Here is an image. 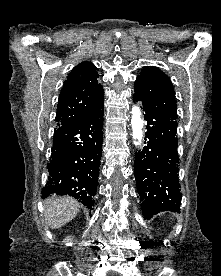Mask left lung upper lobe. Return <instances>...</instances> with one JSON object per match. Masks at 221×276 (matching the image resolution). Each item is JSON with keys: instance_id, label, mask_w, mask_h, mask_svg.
<instances>
[{"instance_id": "5c2ea615", "label": "left lung upper lobe", "mask_w": 221, "mask_h": 276, "mask_svg": "<svg viewBox=\"0 0 221 276\" xmlns=\"http://www.w3.org/2000/svg\"><path fill=\"white\" fill-rule=\"evenodd\" d=\"M134 97L144 108L156 115L176 120L177 105L175 92L168 76L156 67L142 69L134 86Z\"/></svg>"}]
</instances>
